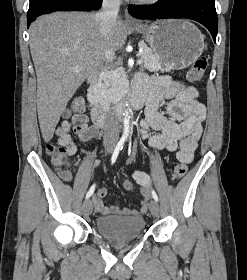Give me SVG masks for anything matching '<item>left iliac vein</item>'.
<instances>
[{"label": "left iliac vein", "instance_id": "obj_1", "mask_svg": "<svg viewBox=\"0 0 247 280\" xmlns=\"http://www.w3.org/2000/svg\"><path fill=\"white\" fill-rule=\"evenodd\" d=\"M150 212L152 213L153 216H158L160 212L159 205L156 201H152L150 203Z\"/></svg>", "mask_w": 247, "mask_h": 280}]
</instances>
